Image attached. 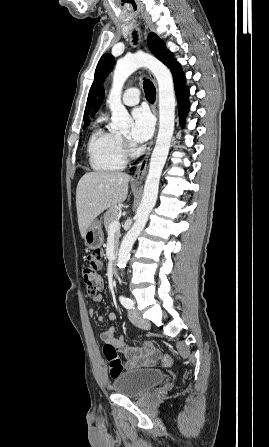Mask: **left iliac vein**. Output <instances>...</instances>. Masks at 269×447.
I'll use <instances>...</instances> for the list:
<instances>
[{
    "label": "left iliac vein",
    "instance_id": "1",
    "mask_svg": "<svg viewBox=\"0 0 269 447\" xmlns=\"http://www.w3.org/2000/svg\"><path fill=\"white\" fill-rule=\"evenodd\" d=\"M128 317L130 321L139 328H147L149 326V322L140 316L134 309H129Z\"/></svg>",
    "mask_w": 269,
    "mask_h": 447
}]
</instances>
